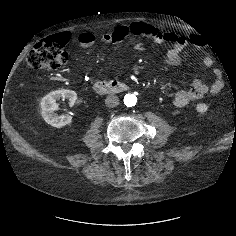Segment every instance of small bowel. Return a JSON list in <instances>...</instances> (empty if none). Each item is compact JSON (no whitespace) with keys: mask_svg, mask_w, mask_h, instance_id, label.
<instances>
[{"mask_svg":"<svg viewBox=\"0 0 236 236\" xmlns=\"http://www.w3.org/2000/svg\"><path fill=\"white\" fill-rule=\"evenodd\" d=\"M133 35L140 38L150 39L159 43H169L170 49L165 55V62L172 66H178L183 63L182 52L189 45H198L201 37L198 35H191L189 37L178 35L172 32H164L157 27L144 23L134 22L125 24L118 27L110 33H105L100 37V41L105 45L116 44L123 41L126 37ZM57 36L65 43L70 39L69 32H61ZM79 44L82 48H90L96 41V36L90 31H85L78 36ZM137 47L142 49V45L138 44ZM206 66L211 65L210 59H205ZM214 81L208 86L199 80L193 81L192 85L186 89H178L173 96V104L177 108L185 107L192 101L198 100L206 95L208 92L218 93L222 90L224 82L221 73L214 71Z\"/></svg>","mask_w":236,"mask_h":236,"instance_id":"1","label":"small bowel"}]
</instances>
